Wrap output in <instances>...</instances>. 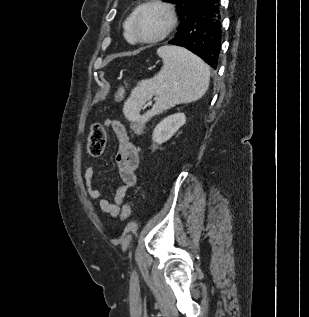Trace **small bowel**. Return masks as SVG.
I'll return each instance as SVG.
<instances>
[{"instance_id":"obj_1","label":"small bowel","mask_w":309,"mask_h":317,"mask_svg":"<svg viewBox=\"0 0 309 317\" xmlns=\"http://www.w3.org/2000/svg\"><path fill=\"white\" fill-rule=\"evenodd\" d=\"M105 125L114 132L118 149L115 155L121 185L117 188L112 200L103 197V192L94 181L95 169L93 166L86 168L84 181L88 194L92 199L99 200L100 209L111 217H118L122 212V205L126 198L127 190L137 182L136 171L139 165V154L135 144L131 141L124 124L115 119H107Z\"/></svg>"}]
</instances>
